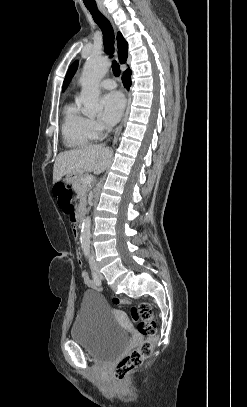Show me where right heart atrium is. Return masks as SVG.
<instances>
[{
    "label": "right heart atrium",
    "instance_id": "right-heart-atrium-1",
    "mask_svg": "<svg viewBox=\"0 0 247 407\" xmlns=\"http://www.w3.org/2000/svg\"><path fill=\"white\" fill-rule=\"evenodd\" d=\"M90 127L95 138L99 137L105 129L103 122L97 119L90 120Z\"/></svg>",
    "mask_w": 247,
    "mask_h": 407
}]
</instances>
